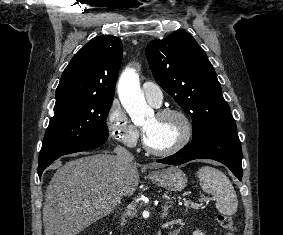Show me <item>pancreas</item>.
<instances>
[{"mask_svg": "<svg viewBox=\"0 0 283 235\" xmlns=\"http://www.w3.org/2000/svg\"><path fill=\"white\" fill-rule=\"evenodd\" d=\"M185 206L187 208H192V209L198 210L201 205L197 204V203H193V202H188L187 204H185Z\"/></svg>", "mask_w": 283, "mask_h": 235, "instance_id": "1", "label": "pancreas"}]
</instances>
